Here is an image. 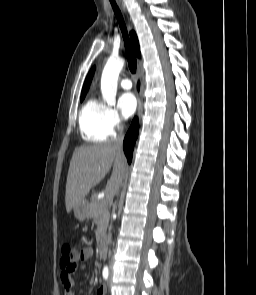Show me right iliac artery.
Here are the masks:
<instances>
[{"mask_svg": "<svg viewBox=\"0 0 256 295\" xmlns=\"http://www.w3.org/2000/svg\"><path fill=\"white\" fill-rule=\"evenodd\" d=\"M102 275H103V278H104L105 280L108 279V276H109V270H108V267H107V266L104 267L103 272H102Z\"/></svg>", "mask_w": 256, "mask_h": 295, "instance_id": "82829eb1", "label": "right iliac artery"}]
</instances>
